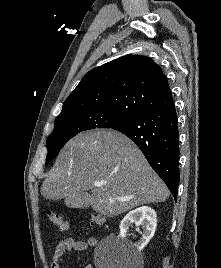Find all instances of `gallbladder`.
I'll use <instances>...</instances> for the list:
<instances>
[{
    "label": "gallbladder",
    "mask_w": 221,
    "mask_h": 268,
    "mask_svg": "<svg viewBox=\"0 0 221 268\" xmlns=\"http://www.w3.org/2000/svg\"><path fill=\"white\" fill-rule=\"evenodd\" d=\"M89 196L90 195L88 193L84 194L85 198H89ZM68 203L70 204V207L78 209H83L90 206L86 199H69Z\"/></svg>",
    "instance_id": "bac80fb5"
}]
</instances>
